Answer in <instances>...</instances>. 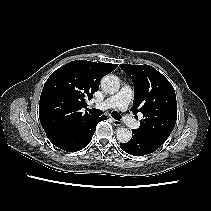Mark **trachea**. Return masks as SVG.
<instances>
[{
  "label": "trachea",
  "mask_w": 211,
  "mask_h": 211,
  "mask_svg": "<svg viewBox=\"0 0 211 211\" xmlns=\"http://www.w3.org/2000/svg\"><path fill=\"white\" fill-rule=\"evenodd\" d=\"M89 112L93 116H100L102 114L101 110H98L95 108L90 109ZM111 116L116 120H120L122 118V116L118 112H115V111L111 113Z\"/></svg>",
  "instance_id": "trachea-1"
}]
</instances>
